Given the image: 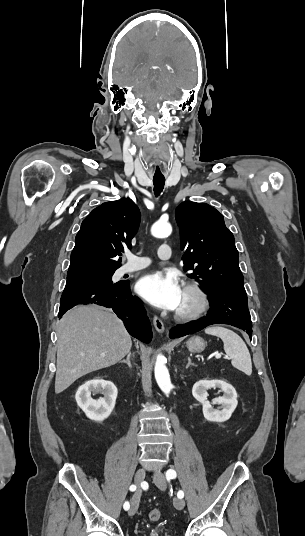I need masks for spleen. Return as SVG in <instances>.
<instances>
[{"label":"spleen","instance_id":"1","mask_svg":"<svg viewBox=\"0 0 305 536\" xmlns=\"http://www.w3.org/2000/svg\"><path fill=\"white\" fill-rule=\"evenodd\" d=\"M206 334H211V336H217L221 338L224 344V350L231 360L232 366L241 370L247 376L252 374V362L249 350L243 342L240 336H237L232 330H227V328H221L220 324L212 326V328H206Z\"/></svg>","mask_w":305,"mask_h":536}]
</instances>
